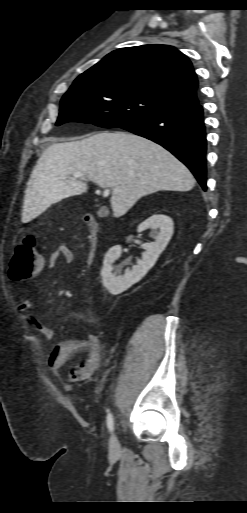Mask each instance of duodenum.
<instances>
[{
    "mask_svg": "<svg viewBox=\"0 0 247 513\" xmlns=\"http://www.w3.org/2000/svg\"><path fill=\"white\" fill-rule=\"evenodd\" d=\"M84 225L87 231L89 257L92 261L96 257L97 241H98V223L94 216L86 214L83 218Z\"/></svg>",
    "mask_w": 247,
    "mask_h": 513,
    "instance_id": "410a0bca",
    "label": "duodenum"
}]
</instances>
